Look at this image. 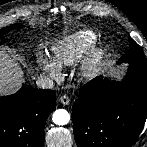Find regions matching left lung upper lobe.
I'll return each mask as SVG.
<instances>
[{
  "label": "left lung upper lobe",
  "instance_id": "obj_1",
  "mask_svg": "<svg viewBox=\"0 0 147 147\" xmlns=\"http://www.w3.org/2000/svg\"><path fill=\"white\" fill-rule=\"evenodd\" d=\"M129 43V49L121 57L119 63L138 64L147 67V59L141 47L132 38H129Z\"/></svg>",
  "mask_w": 147,
  "mask_h": 147
}]
</instances>
